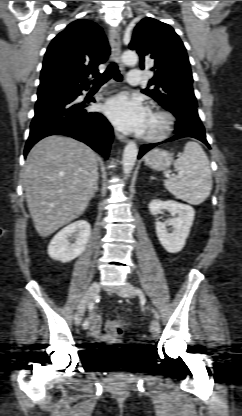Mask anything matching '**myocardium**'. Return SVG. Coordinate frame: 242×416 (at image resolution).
Here are the masks:
<instances>
[{
	"label": "myocardium",
	"mask_w": 242,
	"mask_h": 416,
	"mask_svg": "<svg viewBox=\"0 0 242 416\" xmlns=\"http://www.w3.org/2000/svg\"><path fill=\"white\" fill-rule=\"evenodd\" d=\"M149 114L158 118V124L153 129L144 132L142 138L146 141H159L166 138L173 127V115L161 108H154Z\"/></svg>",
	"instance_id": "f54148a6"
}]
</instances>
